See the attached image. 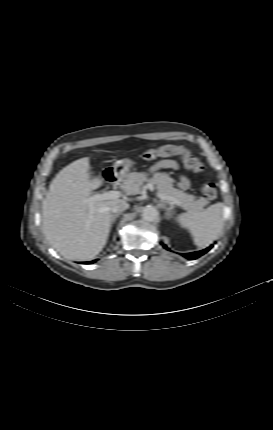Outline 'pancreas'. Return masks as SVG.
<instances>
[{
	"label": "pancreas",
	"instance_id": "1",
	"mask_svg": "<svg viewBox=\"0 0 273 430\" xmlns=\"http://www.w3.org/2000/svg\"><path fill=\"white\" fill-rule=\"evenodd\" d=\"M145 182L155 185L159 193L177 199L179 201L178 205L185 210L199 212L208 203L204 197H196L174 188L173 179L165 172L154 173L150 179L145 172H132L124 180V188L127 192L135 194L139 192Z\"/></svg>",
	"mask_w": 273,
	"mask_h": 430
}]
</instances>
